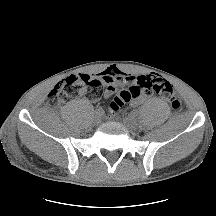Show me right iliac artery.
Here are the masks:
<instances>
[{
	"mask_svg": "<svg viewBox=\"0 0 216 216\" xmlns=\"http://www.w3.org/2000/svg\"><path fill=\"white\" fill-rule=\"evenodd\" d=\"M95 113H96L97 115L102 116V115H104V110H103L102 108H98V109H96Z\"/></svg>",
	"mask_w": 216,
	"mask_h": 216,
	"instance_id": "obj_1",
	"label": "right iliac artery"
}]
</instances>
